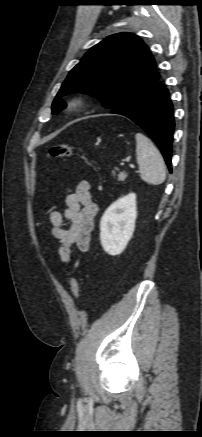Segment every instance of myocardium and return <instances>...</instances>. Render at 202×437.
I'll use <instances>...</instances> for the list:
<instances>
[{
  "label": "myocardium",
  "mask_w": 202,
  "mask_h": 437,
  "mask_svg": "<svg viewBox=\"0 0 202 437\" xmlns=\"http://www.w3.org/2000/svg\"><path fill=\"white\" fill-rule=\"evenodd\" d=\"M83 103L84 101L81 97H73L67 102L66 108L69 111H73L80 108L83 105Z\"/></svg>",
  "instance_id": "obj_1"
}]
</instances>
